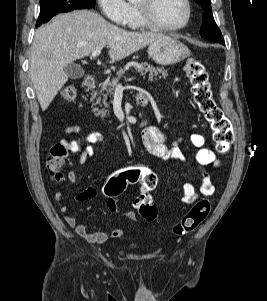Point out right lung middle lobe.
Instances as JSON below:
<instances>
[{
	"label": "right lung middle lobe",
	"instance_id": "1",
	"mask_svg": "<svg viewBox=\"0 0 267 301\" xmlns=\"http://www.w3.org/2000/svg\"><path fill=\"white\" fill-rule=\"evenodd\" d=\"M96 0H40V14L36 26L49 21L58 13L76 9H92Z\"/></svg>",
	"mask_w": 267,
	"mask_h": 301
}]
</instances>
